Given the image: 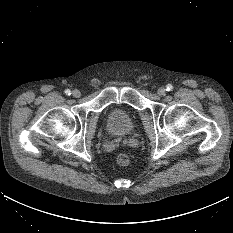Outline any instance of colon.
<instances>
[{"mask_svg": "<svg viewBox=\"0 0 233 233\" xmlns=\"http://www.w3.org/2000/svg\"><path fill=\"white\" fill-rule=\"evenodd\" d=\"M130 156L126 153H121L117 157V163L121 166H126L130 163Z\"/></svg>", "mask_w": 233, "mask_h": 233, "instance_id": "colon-1", "label": "colon"}]
</instances>
